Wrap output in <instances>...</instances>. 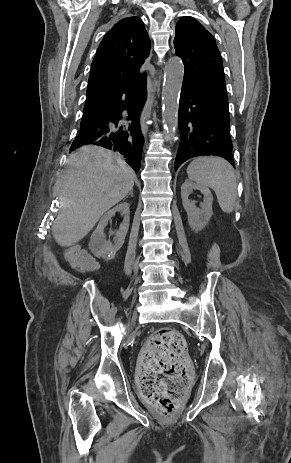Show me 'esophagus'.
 Wrapping results in <instances>:
<instances>
[{
    "mask_svg": "<svg viewBox=\"0 0 291 463\" xmlns=\"http://www.w3.org/2000/svg\"><path fill=\"white\" fill-rule=\"evenodd\" d=\"M158 86L157 82L154 83V87L156 88Z\"/></svg>",
    "mask_w": 291,
    "mask_h": 463,
    "instance_id": "obj_1",
    "label": "esophagus"
}]
</instances>
